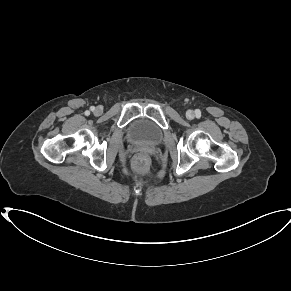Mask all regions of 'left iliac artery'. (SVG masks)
I'll return each mask as SVG.
<instances>
[{
  "label": "left iliac artery",
  "mask_w": 291,
  "mask_h": 291,
  "mask_svg": "<svg viewBox=\"0 0 291 291\" xmlns=\"http://www.w3.org/2000/svg\"><path fill=\"white\" fill-rule=\"evenodd\" d=\"M195 114H196V117L199 118L201 116V111L199 109H196Z\"/></svg>",
  "instance_id": "44dca946"
}]
</instances>
